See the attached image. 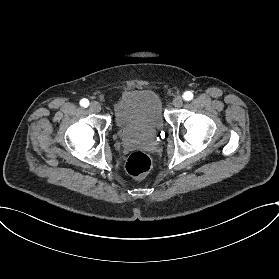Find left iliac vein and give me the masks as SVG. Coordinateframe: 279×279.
<instances>
[{
    "mask_svg": "<svg viewBox=\"0 0 279 279\" xmlns=\"http://www.w3.org/2000/svg\"><path fill=\"white\" fill-rule=\"evenodd\" d=\"M172 105L176 108L181 107L183 105V98L179 95L174 97V99L172 101Z\"/></svg>",
    "mask_w": 279,
    "mask_h": 279,
    "instance_id": "left-iliac-vein-1",
    "label": "left iliac vein"
}]
</instances>
